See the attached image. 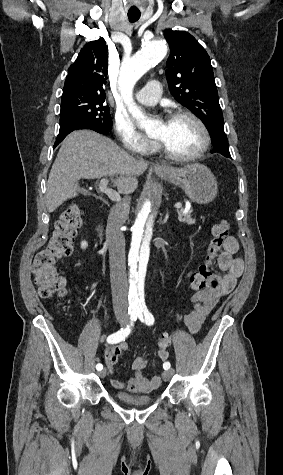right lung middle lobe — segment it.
<instances>
[{"instance_id":"1","label":"right lung middle lobe","mask_w":283,"mask_h":475,"mask_svg":"<svg viewBox=\"0 0 283 475\" xmlns=\"http://www.w3.org/2000/svg\"><path fill=\"white\" fill-rule=\"evenodd\" d=\"M105 95L62 96L60 125L69 122H83L95 128L110 131L112 118L110 109L104 105Z\"/></svg>"}]
</instances>
